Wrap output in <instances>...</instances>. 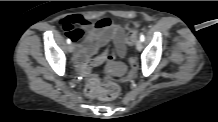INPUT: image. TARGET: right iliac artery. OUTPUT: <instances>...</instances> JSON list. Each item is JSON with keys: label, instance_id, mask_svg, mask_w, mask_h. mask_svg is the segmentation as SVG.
<instances>
[{"label": "right iliac artery", "instance_id": "obj_1", "mask_svg": "<svg viewBox=\"0 0 218 122\" xmlns=\"http://www.w3.org/2000/svg\"><path fill=\"white\" fill-rule=\"evenodd\" d=\"M66 41H67V43H68V44H70V43H71V40H70L69 38H67V40H66Z\"/></svg>", "mask_w": 218, "mask_h": 122}]
</instances>
